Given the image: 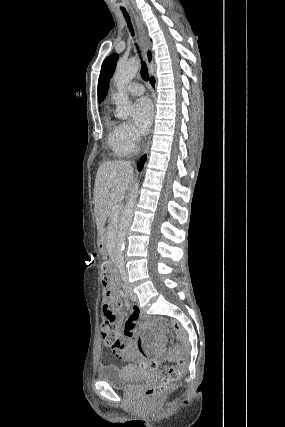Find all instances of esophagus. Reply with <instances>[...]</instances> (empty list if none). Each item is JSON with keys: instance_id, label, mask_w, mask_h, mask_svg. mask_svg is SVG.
Here are the masks:
<instances>
[{"instance_id": "1", "label": "esophagus", "mask_w": 285, "mask_h": 427, "mask_svg": "<svg viewBox=\"0 0 285 427\" xmlns=\"http://www.w3.org/2000/svg\"><path fill=\"white\" fill-rule=\"evenodd\" d=\"M132 14L134 16L135 19V23H136V27H137V31H138V36H139V42L142 48V52L144 55V58L147 61L148 66H151V63L148 61V57H147V53H148V49L150 47L149 44V40L147 38L146 32H145V28H144V24L142 22V20L139 18V16L132 10ZM149 146V143H148ZM147 146V148H148ZM147 151V149L144 151V153Z\"/></svg>"}]
</instances>
